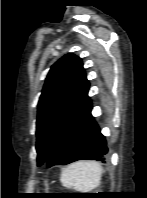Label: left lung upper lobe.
Wrapping results in <instances>:
<instances>
[{
    "mask_svg": "<svg viewBox=\"0 0 147 198\" xmlns=\"http://www.w3.org/2000/svg\"><path fill=\"white\" fill-rule=\"evenodd\" d=\"M89 82L79 57L64 55L50 69L38 103V166L46 163L67 128L89 102Z\"/></svg>",
    "mask_w": 147,
    "mask_h": 198,
    "instance_id": "left-lung-upper-lobe-1",
    "label": "left lung upper lobe"
}]
</instances>
